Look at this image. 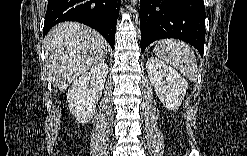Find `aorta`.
Here are the masks:
<instances>
[{
	"label": "aorta",
	"instance_id": "obj_1",
	"mask_svg": "<svg viewBox=\"0 0 247 156\" xmlns=\"http://www.w3.org/2000/svg\"><path fill=\"white\" fill-rule=\"evenodd\" d=\"M132 4H133V6L137 5L138 4V0H133Z\"/></svg>",
	"mask_w": 247,
	"mask_h": 156
}]
</instances>
